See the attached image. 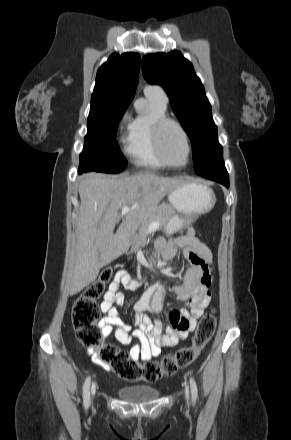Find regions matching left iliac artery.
Masks as SVG:
<instances>
[{
    "label": "left iliac artery",
    "instance_id": "left-iliac-artery-1",
    "mask_svg": "<svg viewBox=\"0 0 291 440\" xmlns=\"http://www.w3.org/2000/svg\"><path fill=\"white\" fill-rule=\"evenodd\" d=\"M189 382H190V388H191L192 399H193V402H195L196 399H197V397H198V388H197V384H196V381L194 380L193 377H190Z\"/></svg>",
    "mask_w": 291,
    "mask_h": 440
}]
</instances>
